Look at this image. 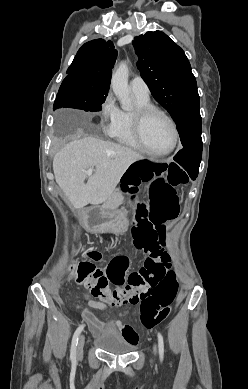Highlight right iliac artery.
<instances>
[{
  "label": "right iliac artery",
  "instance_id": "obj_1",
  "mask_svg": "<svg viewBox=\"0 0 248 389\" xmlns=\"http://www.w3.org/2000/svg\"><path fill=\"white\" fill-rule=\"evenodd\" d=\"M83 328H84V325H80L73 335L71 350H70V359H71L72 363H74L76 361V347H77V343H78V337H79L80 333L82 332Z\"/></svg>",
  "mask_w": 248,
  "mask_h": 389
}]
</instances>
